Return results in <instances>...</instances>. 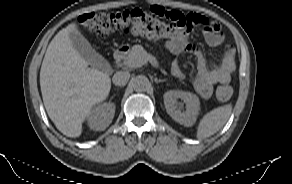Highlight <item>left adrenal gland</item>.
<instances>
[{"mask_svg":"<svg viewBox=\"0 0 292 184\" xmlns=\"http://www.w3.org/2000/svg\"><path fill=\"white\" fill-rule=\"evenodd\" d=\"M166 81V79H157V78H155V83H160V82H165Z\"/></svg>","mask_w":292,"mask_h":184,"instance_id":"a2214340","label":"left adrenal gland"}]
</instances>
